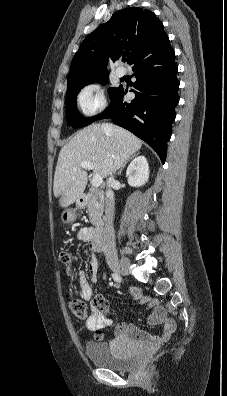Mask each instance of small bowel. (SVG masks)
Wrapping results in <instances>:
<instances>
[{
	"label": "small bowel",
	"instance_id": "c3829d8e",
	"mask_svg": "<svg viewBox=\"0 0 227 396\" xmlns=\"http://www.w3.org/2000/svg\"><path fill=\"white\" fill-rule=\"evenodd\" d=\"M92 234V229L83 227L78 233V238L88 243L90 250H99L92 240ZM98 266V259L91 256L87 267L88 275L84 272L79 275V292L84 300L92 297L91 284L97 282ZM130 294L134 300L153 307L149 320L153 324H163L162 332L154 336L132 324L121 323L115 328L112 343H131L149 350L156 349L170 339L176 329V323L173 319L166 317L165 310L158 305L156 300L143 296L138 288H133ZM94 306V310L86 320V327L94 332L96 341L104 342L106 340L104 330L112 324V319L105 315L108 313V303L102 296H96Z\"/></svg>",
	"mask_w": 227,
	"mask_h": 396
}]
</instances>
